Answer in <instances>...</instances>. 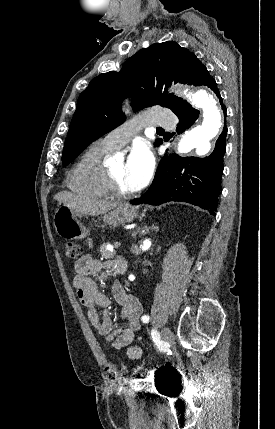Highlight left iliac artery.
Wrapping results in <instances>:
<instances>
[{"instance_id":"left-iliac-artery-1","label":"left iliac artery","mask_w":275,"mask_h":429,"mask_svg":"<svg viewBox=\"0 0 275 429\" xmlns=\"http://www.w3.org/2000/svg\"><path fill=\"white\" fill-rule=\"evenodd\" d=\"M149 316L148 315H144V316H142V318H141V321L143 322V323H148L149 322Z\"/></svg>"}]
</instances>
